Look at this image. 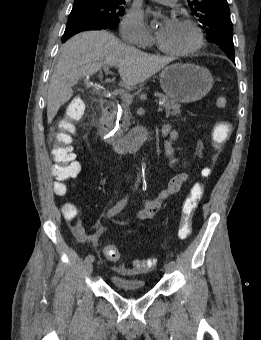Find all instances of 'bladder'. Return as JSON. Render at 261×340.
Masks as SVG:
<instances>
[{"label":"bladder","mask_w":261,"mask_h":340,"mask_svg":"<svg viewBox=\"0 0 261 340\" xmlns=\"http://www.w3.org/2000/svg\"><path fill=\"white\" fill-rule=\"evenodd\" d=\"M111 281L122 292H140L146 289V283L139 278L112 276Z\"/></svg>","instance_id":"obj_1"}]
</instances>
